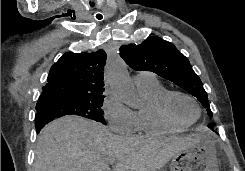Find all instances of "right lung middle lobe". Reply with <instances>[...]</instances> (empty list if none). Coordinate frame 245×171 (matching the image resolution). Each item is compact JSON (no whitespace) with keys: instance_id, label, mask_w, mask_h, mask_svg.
Listing matches in <instances>:
<instances>
[{"instance_id":"obj_1","label":"right lung middle lobe","mask_w":245,"mask_h":171,"mask_svg":"<svg viewBox=\"0 0 245 171\" xmlns=\"http://www.w3.org/2000/svg\"><path fill=\"white\" fill-rule=\"evenodd\" d=\"M103 100V95L50 98L37 104L36 110L37 113H44L53 118L65 115H78L106 125L103 117L104 112L101 108Z\"/></svg>"}]
</instances>
